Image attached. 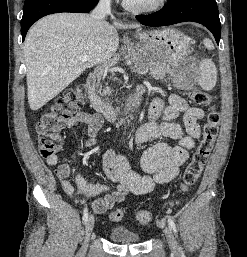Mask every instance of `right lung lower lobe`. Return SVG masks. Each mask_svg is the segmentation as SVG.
Instances as JSON below:
<instances>
[{
  "label": "right lung lower lobe",
  "mask_w": 247,
  "mask_h": 257,
  "mask_svg": "<svg viewBox=\"0 0 247 257\" xmlns=\"http://www.w3.org/2000/svg\"><path fill=\"white\" fill-rule=\"evenodd\" d=\"M97 3L98 0H25L21 20L22 40L24 41L31 25L46 15L59 12H89Z\"/></svg>",
  "instance_id": "98d812e1"
}]
</instances>
